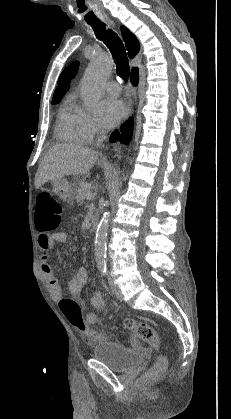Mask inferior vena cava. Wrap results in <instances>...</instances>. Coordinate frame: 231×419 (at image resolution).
Here are the masks:
<instances>
[{"mask_svg":"<svg viewBox=\"0 0 231 419\" xmlns=\"http://www.w3.org/2000/svg\"><path fill=\"white\" fill-rule=\"evenodd\" d=\"M104 138H105V133L102 132L101 136L98 138L97 146H100V143L103 141Z\"/></svg>","mask_w":231,"mask_h":419,"instance_id":"1","label":"inferior vena cava"}]
</instances>
